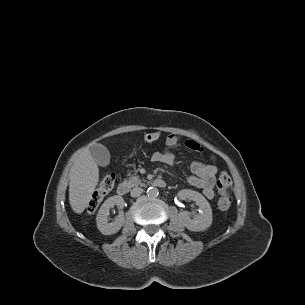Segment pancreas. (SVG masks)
<instances>
[{"instance_id":"pancreas-1","label":"pancreas","mask_w":305,"mask_h":305,"mask_svg":"<svg viewBox=\"0 0 305 305\" xmlns=\"http://www.w3.org/2000/svg\"><path fill=\"white\" fill-rule=\"evenodd\" d=\"M128 183L131 186H138L141 184V179L139 178V176H134L132 175L129 179H128Z\"/></svg>"}]
</instances>
